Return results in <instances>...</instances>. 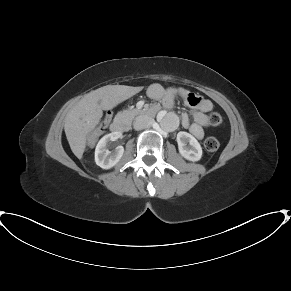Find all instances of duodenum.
<instances>
[{
    "label": "duodenum",
    "instance_id": "410a0bca",
    "mask_svg": "<svg viewBox=\"0 0 291 291\" xmlns=\"http://www.w3.org/2000/svg\"><path fill=\"white\" fill-rule=\"evenodd\" d=\"M159 108L155 105H151L144 109L143 113L148 116H155L158 112ZM127 123L124 118H118L115 121H113L111 125V130L114 133H123L126 131Z\"/></svg>",
    "mask_w": 291,
    "mask_h": 291
}]
</instances>
